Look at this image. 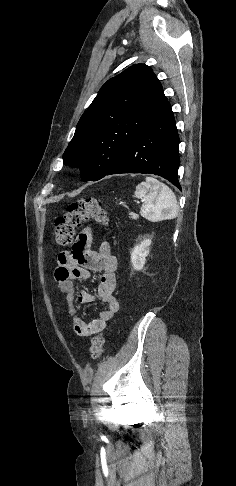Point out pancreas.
I'll list each match as a JSON object with an SVG mask.
<instances>
[{"label":"pancreas","instance_id":"cf45deb5","mask_svg":"<svg viewBox=\"0 0 236 486\" xmlns=\"http://www.w3.org/2000/svg\"><path fill=\"white\" fill-rule=\"evenodd\" d=\"M129 217H130L131 219L136 220V219L138 218V215H137L136 213L130 212V213H129Z\"/></svg>","mask_w":236,"mask_h":486}]
</instances>
